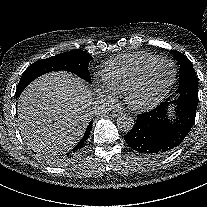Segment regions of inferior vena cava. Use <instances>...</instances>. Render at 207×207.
I'll return each mask as SVG.
<instances>
[{"instance_id":"obj_1","label":"inferior vena cava","mask_w":207,"mask_h":207,"mask_svg":"<svg viewBox=\"0 0 207 207\" xmlns=\"http://www.w3.org/2000/svg\"><path fill=\"white\" fill-rule=\"evenodd\" d=\"M91 113H92V114H95V113H96V111H95V110H94V111H91Z\"/></svg>"}]
</instances>
